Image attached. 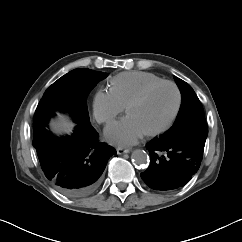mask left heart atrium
I'll list each match as a JSON object with an SVG mask.
<instances>
[{"label":"left heart atrium","mask_w":242,"mask_h":242,"mask_svg":"<svg viewBox=\"0 0 242 242\" xmlns=\"http://www.w3.org/2000/svg\"><path fill=\"white\" fill-rule=\"evenodd\" d=\"M145 132L136 123L132 116L127 115L111 123L105 129L106 139L118 145H131L136 143Z\"/></svg>","instance_id":"1"}]
</instances>
